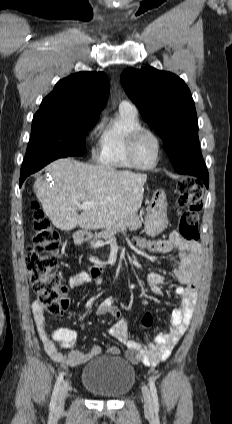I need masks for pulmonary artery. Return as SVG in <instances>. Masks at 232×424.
Instances as JSON below:
<instances>
[{"label": "pulmonary artery", "instance_id": "obj_1", "mask_svg": "<svg viewBox=\"0 0 232 424\" xmlns=\"http://www.w3.org/2000/svg\"><path fill=\"white\" fill-rule=\"evenodd\" d=\"M120 108H130V109L136 110V108L128 101H122L120 103Z\"/></svg>", "mask_w": 232, "mask_h": 424}]
</instances>
